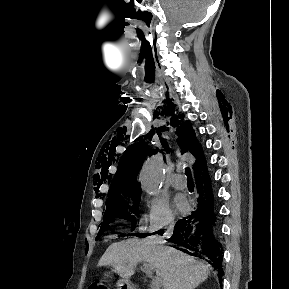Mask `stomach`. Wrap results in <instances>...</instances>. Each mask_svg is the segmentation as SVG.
<instances>
[{"instance_id":"1","label":"stomach","mask_w":289,"mask_h":289,"mask_svg":"<svg viewBox=\"0 0 289 289\" xmlns=\"http://www.w3.org/2000/svg\"><path fill=\"white\" fill-rule=\"evenodd\" d=\"M118 289H133L128 279L122 278L118 281Z\"/></svg>"}]
</instances>
